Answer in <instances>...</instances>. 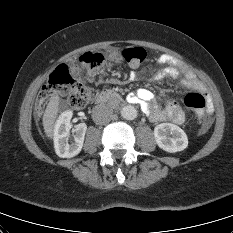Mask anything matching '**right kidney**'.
Returning a JSON list of instances; mask_svg holds the SVG:
<instances>
[{"label": "right kidney", "mask_w": 233, "mask_h": 233, "mask_svg": "<svg viewBox=\"0 0 233 233\" xmlns=\"http://www.w3.org/2000/svg\"><path fill=\"white\" fill-rule=\"evenodd\" d=\"M71 118L72 111L67 110L59 116L55 124L54 147L56 154L61 158H72L79 154L83 147L87 125H76L73 129L74 139L69 143Z\"/></svg>", "instance_id": "1"}]
</instances>
